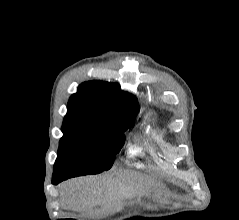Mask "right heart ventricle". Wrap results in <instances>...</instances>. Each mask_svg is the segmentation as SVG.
Wrapping results in <instances>:
<instances>
[{
  "instance_id": "right-heart-ventricle-1",
  "label": "right heart ventricle",
  "mask_w": 239,
  "mask_h": 220,
  "mask_svg": "<svg viewBox=\"0 0 239 220\" xmlns=\"http://www.w3.org/2000/svg\"><path fill=\"white\" fill-rule=\"evenodd\" d=\"M143 153V148L141 146H133L128 151V157L133 158L140 156Z\"/></svg>"
}]
</instances>
